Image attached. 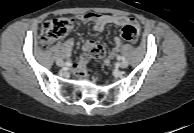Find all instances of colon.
I'll return each mask as SVG.
<instances>
[{
	"label": "colon",
	"mask_w": 194,
	"mask_h": 133,
	"mask_svg": "<svg viewBox=\"0 0 194 133\" xmlns=\"http://www.w3.org/2000/svg\"><path fill=\"white\" fill-rule=\"evenodd\" d=\"M71 26V22L68 18H54L46 21L42 25L40 46L47 48L53 41L62 38L67 34ZM122 37L132 43L136 44L138 41V32L133 26H126L122 30ZM89 54L94 59H99L104 55V48L94 43L90 49ZM87 57L82 56L74 67L76 76L83 78L87 76Z\"/></svg>",
	"instance_id": "5ec220e1"
}]
</instances>
